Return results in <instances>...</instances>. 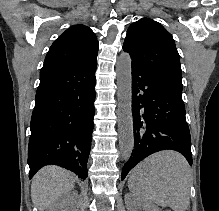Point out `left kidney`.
I'll list each match as a JSON object with an SVG mask.
<instances>
[{"mask_svg": "<svg viewBox=\"0 0 219 211\" xmlns=\"http://www.w3.org/2000/svg\"><path fill=\"white\" fill-rule=\"evenodd\" d=\"M140 209H144V211H161L158 205H147L145 201H140V205L137 203L135 211H140Z\"/></svg>", "mask_w": 219, "mask_h": 211, "instance_id": "obj_1", "label": "left kidney"}]
</instances>
